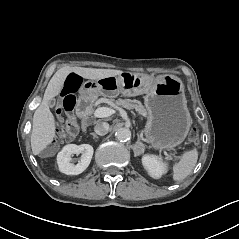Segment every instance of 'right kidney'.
Segmentation results:
<instances>
[{
  "mask_svg": "<svg viewBox=\"0 0 239 239\" xmlns=\"http://www.w3.org/2000/svg\"><path fill=\"white\" fill-rule=\"evenodd\" d=\"M73 154H82L78 163L72 159ZM93 156V147L89 144H68L57 155V163L60 172L67 175H78L82 173L90 164Z\"/></svg>",
  "mask_w": 239,
  "mask_h": 239,
  "instance_id": "right-kidney-1",
  "label": "right kidney"
}]
</instances>
